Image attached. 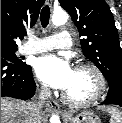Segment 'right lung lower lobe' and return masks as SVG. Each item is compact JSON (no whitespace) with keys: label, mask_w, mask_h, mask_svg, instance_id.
<instances>
[{"label":"right lung lower lobe","mask_w":122,"mask_h":123,"mask_svg":"<svg viewBox=\"0 0 122 123\" xmlns=\"http://www.w3.org/2000/svg\"><path fill=\"white\" fill-rule=\"evenodd\" d=\"M31 66L26 63H14L1 57V97L8 96L29 99L35 94Z\"/></svg>","instance_id":"right-lung-lower-lobe-1"}]
</instances>
